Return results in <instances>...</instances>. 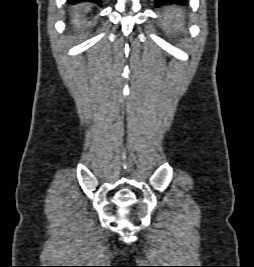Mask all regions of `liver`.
Masks as SVG:
<instances>
[{
    "instance_id": "liver-1",
    "label": "liver",
    "mask_w": 254,
    "mask_h": 267,
    "mask_svg": "<svg viewBox=\"0 0 254 267\" xmlns=\"http://www.w3.org/2000/svg\"><path fill=\"white\" fill-rule=\"evenodd\" d=\"M73 17H74V20L76 21L79 17H80V11H85V12H88L90 10V6H87V5H77V6H73Z\"/></svg>"
}]
</instances>
